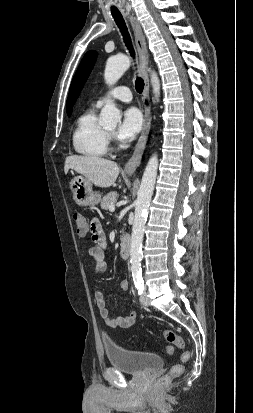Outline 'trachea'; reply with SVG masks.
<instances>
[{"instance_id": "1", "label": "trachea", "mask_w": 253, "mask_h": 413, "mask_svg": "<svg viewBox=\"0 0 253 413\" xmlns=\"http://www.w3.org/2000/svg\"><path fill=\"white\" fill-rule=\"evenodd\" d=\"M111 14H112L118 28L120 29V32L123 36V40H124V43H125L126 47L128 48L131 56L134 58L135 57V51L133 49L131 38H130V35H129V32H128L127 26L125 24V21L122 17V14L118 10H111ZM135 88H136V91L138 93H142L143 88H144V80L141 77L136 78Z\"/></svg>"}]
</instances>
